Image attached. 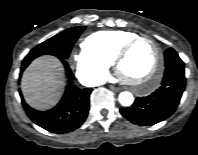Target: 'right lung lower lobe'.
Wrapping results in <instances>:
<instances>
[{
  "instance_id": "right-lung-lower-lobe-1",
  "label": "right lung lower lobe",
  "mask_w": 198,
  "mask_h": 155,
  "mask_svg": "<svg viewBox=\"0 0 198 155\" xmlns=\"http://www.w3.org/2000/svg\"><path fill=\"white\" fill-rule=\"evenodd\" d=\"M32 61V60H31ZM31 61H23L21 73ZM67 75L71 70L64 59H61ZM92 89H80L69 84L60 102L49 111L41 112L29 107L22 98L23 107L28 117L38 126L53 133H68L77 129L85 121L89 111V96Z\"/></svg>"
}]
</instances>
